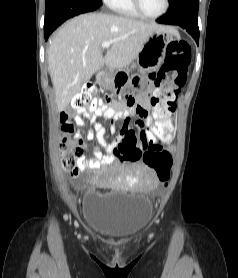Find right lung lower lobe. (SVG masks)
Segmentation results:
<instances>
[{"mask_svg": "<svg viewBox=\"0 0 238 278\" xmlns=\"http://www.w3.org/2000/svg\"><path fill=\"white\" fill-rule=\"evenodd\" d=\"M101 5V0H46L45 40L65 20L81 13L90 12Z\"/></svg>", "mask_w": 238, "mask_h": 278, "instance_id": "1", "label": "right lung lower lobe"}]
</instances>
